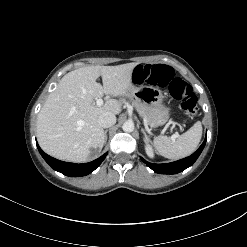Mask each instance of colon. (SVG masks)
<instances>
[{
  "instance_id": "5ec220e1",
  "label": "colon",
  "mask_w": 247,
  "mask_h": 247,
  "mask_svg": "<svg viewBox=\"0 0 247 247\" xmlns=\"http://www.w3.org/2000/svg\"><path fill=\"white\" fill-rule=\"evenodd\" d=\"M133 78L140 84L168 87L172 98L180 102L185 114L188 116L197 114V97L191 86L181 78L175 77L171 67L162 64L138 65L133 70Z\"/></svg>"
}]
</instances>
